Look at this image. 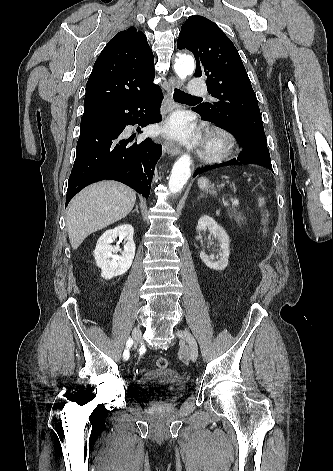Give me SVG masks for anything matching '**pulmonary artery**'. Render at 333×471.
<instances>
[{"mask_svg": "<svg viewBox=\"0 0 333 471\" xmlns=\"http://www.w3.org/2000/svg\"><path fill=\"white\" fill-rule=\"evenodd\" d=\"M189 94L191 95H203L207 92L205 83L199 78H193L189 84Z\"/></svg>", "mask_w": 333, "mask_h": 471, "instance_id": "pulmonary-artery-1", "label": "pulmonary artery"}]
</instances>
